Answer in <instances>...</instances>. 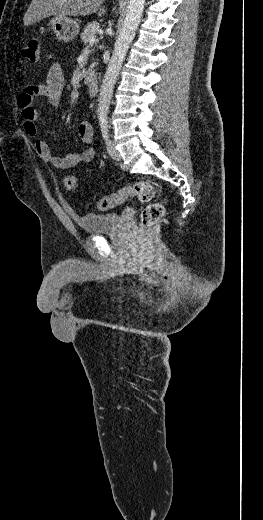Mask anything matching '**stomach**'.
Masks as SVG:
<instances>
[{
  "label": "stomach",
  "instance_id": "0dacf381",
  "mask_svg": "<svg viewBox=\"0 0 263 520\" xmlns=\"http://www.w3.org/2000/svg\"><path fill=\"white\" fill-rule=\"evenodd\" d=\"M49 26L59 40L68 42L79 34V23L70 18L56 15L49 21Z\"/></svg>",
  "mask_w": 263,
  "mask_h": 520
}]
</instances>
